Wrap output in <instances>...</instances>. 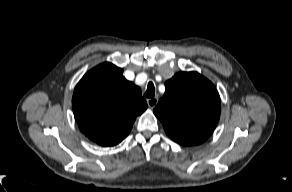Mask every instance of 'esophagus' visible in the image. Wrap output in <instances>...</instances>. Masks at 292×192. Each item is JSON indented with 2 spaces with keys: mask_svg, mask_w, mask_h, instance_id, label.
Segmentation results:
<instances>
[{
  "mask_svg": "<svg viewBox=\"0 0 292 192\" xmlns=\"http://www.w3.org/2000/svg\"><path fill=\"white\" fill-rule=\"evenodd\" d=\"M157 103H158L157 97L147 99V104L150 108H154L157 105Z\"/></svg>",
  "mask_w": 292,
  "mask_h": 192,
  "instance_id": "1",
  "label": "esophagus"
}]
</instances>
